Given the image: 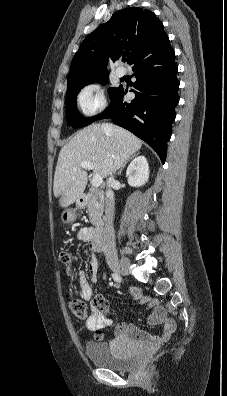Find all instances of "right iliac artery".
<instances>
[{"label":"right iliac artery","instance_id":"82829eb1","mask_svg":"<svg viewBox=\"0 0 227 396\" xmlns=\"http://www.w3.org/2000/svg\"><path fill=\"white\" fill-rule=\"evenodd\" d=\"M112 278H113L114 281H116V282H121V281H122L121 276H120L119 274H117V273H113V274H112Z\"/></svg>","mask_w":227,"mask_h":396}]
</instances>
